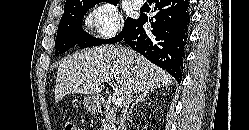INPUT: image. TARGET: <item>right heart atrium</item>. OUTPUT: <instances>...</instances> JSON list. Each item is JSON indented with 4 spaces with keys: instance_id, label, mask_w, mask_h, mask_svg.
<instances>
[{
    "instance_id": "obj_1",
    "label": "right heart atrium",
    "mask_w": 249,
    "mask_h": 130,
    "mask_svg": "<svg viewBox=\"0 0 249 130\" xmlns=\"http://www.w3.org/2000/svg\"><path fill=\"white\" fill-rule=\"evenodd\" d=\"M84 23L98 38L106 40L119 34L123 19L114 5L101 3L87 13Z\"/></svg>"
}]
</instances>
